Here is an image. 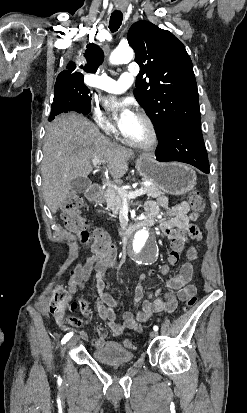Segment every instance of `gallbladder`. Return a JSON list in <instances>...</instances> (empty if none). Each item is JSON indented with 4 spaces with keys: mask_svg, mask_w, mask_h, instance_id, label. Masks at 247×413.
Returning <instances> with one entry per match:
<instances>
[{
    "mask_svg": "<svg viewBox=\"0 0 247 413\" xmlns=\"http://www.w3.org/2000/svg\"><path fill=\"white\" fill-rule=\"evenodd\" d=\"M90 184L91 180L90 178H87V176H76V178H73V180H71V196L78 194V192H85L86 188H89Z\"/></svg>",
    "mask_w": 247,
    "mask_h": 413,
    "instance_id": "gallbladder-1",
    "label": "gallbladder"
}]
</instances>
